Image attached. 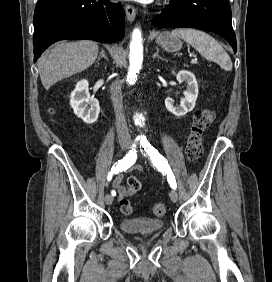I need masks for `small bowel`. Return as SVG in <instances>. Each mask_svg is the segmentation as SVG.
<instances>
[{
	"label": "small bowel",
	"mask_w": 272,
	"mask_h": 282,
	"mask_svg": "<svg viewBox=\"0 0 272 282\" xmlns=\"http://www.w3.org/2000/svg\"><path fill=\"white\" fill-rule=\"evenodd\" d=\"M132 169L135 171H140L141 166L137 164L133 166ZM122 179H123V175L119 174L112 182V187L116 189L119 194V200H122L123 197L125 196H130L135 194L141 188V183L138 179L136 183L128 184L127 186L121 184Z\"/></svg>",
	"instance_id": "c3829d8e"
}]
</instances>
